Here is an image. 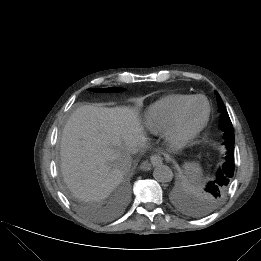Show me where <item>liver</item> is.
<instances>
[{
    "label": "liver",
    "mask_w": 261,
    "mask_h": 261,
    "mask_svg": "<svg viewBox=\"0 0 261 261\" xmlns=\"http://www.w3.org/2000/svg\"><path fill=\"white\" fill-rule=\"evenodd\" d=\"M147 138L134 108L83 105L64 126L61 170L73 194L83 201H100L122 182L119 159L136 154Z\"/></svg>",
    "instance_id": "6515ba94"
}]
</instances>
